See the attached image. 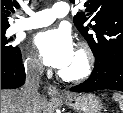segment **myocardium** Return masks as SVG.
<instances>
[{
  "mask_svg": "<svg viewBox=\"0 0 123 113\" xmlns=\"http://www.w3.org/2000/svg\"><path fill=\"white\" fill-rule=\"evenodd\" d=\"M77 57L81 60V67L73 72L67 73L63 70L59 71V77L68 82H78L87 79L93 72L94 55L91 48L87 44H80L77 51Z\"/></svg>",
  "mask_w": 123,
  "mask_h": 113,
  "instance_id": "myocardium-1",
  "label": "myocardium"
}]
</instances>
